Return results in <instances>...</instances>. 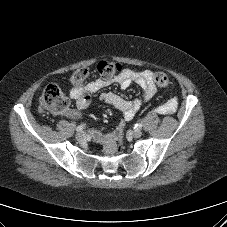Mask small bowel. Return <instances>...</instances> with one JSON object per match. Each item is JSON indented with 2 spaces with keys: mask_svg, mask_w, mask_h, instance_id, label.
Listing matches in <instances>:
<instances>
[{
  "mask_svg": "<svg viewBox=\"0 0 227 227\" xmlns=\"http://www.w3.org/2000/svg\"><path fill=\"white\" fill-rule=\"evenodd\" d=\"M154 74L149 70L136 71L133 69H124L118 75L111 79L97 78L86 84L84 88H72L69 92L70 97L75 101L76 109L66 112L70 119H80L81 111L86 109L91 102V94L102 90L111 85L118 84L122 89L128 88L135 83L142 89L141 98L135 100H126L112 92H103L100 99L110 104L123 113L124 119L129 121L134 118L141 106L149 102L156 93ZM178 106L177 98H171L156 108L159 114H172ZM123 124H120L113 132L103 134L99 131H92V137L103 146L106 153H112L117 148V142L121 138Z\"/></svg>",
  "mask_w": 227,
  "mask_h": 227,
  "instance_id": "c3829d8e",
  "label": "small bowel"
}]
</instances>
